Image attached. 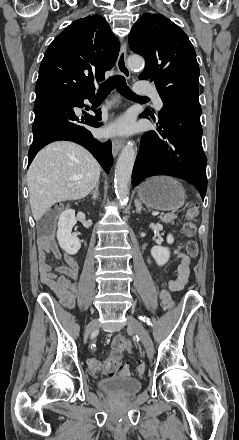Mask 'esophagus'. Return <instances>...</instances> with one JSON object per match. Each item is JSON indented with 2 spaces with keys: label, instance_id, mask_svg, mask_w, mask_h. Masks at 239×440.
<instances>
[{
  "label": "esophagus",
  "instance_id": "esophagus-1",
  "mask_svg": "<svg viewBox=\"0 0 239 440\" xmlns=\"http://www.w3.org/2000/svg\"><path fill=\"white\" fill-rule=\"evenodd\" d=\"M117 69L122 76H124L127 79L130 78V70L128 68L127 60H126V43L123 44L120 49L119 56L117 59ZM123 145H124V141L121 139L114 138L112 140V153L114 157H116L117 153L119 152V150L122 148Z\"/></svg>",
  "mask_w": 239,
  "mask_h": 440
}]
</instances>
